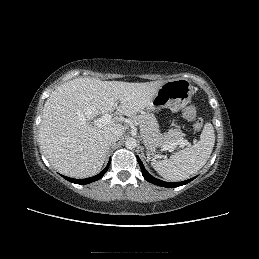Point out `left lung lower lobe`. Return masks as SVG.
Here are the masks:
<instances>
[{
    "label": "left lung lower lobe",
    "mask_w": 259,
    "mask_h": 259,
    "mask_svg": "<svg viewBox=\"0 0 259 259\" xmlns=\"http://www.w3.org/2000/svg\"><path fill=\"white\" fill-rule=\"evenodd\" d=\"M137 160H138V163H139V165H140V168H141V171H142V175L144 176V178L147 180V181H149V182H151V183H153V184H155V185H158V186H162V187H168V188H170V187H178V186H182V185H185V184H187V183H189L191 180H193L194 178H191V179H189V180H186V181H182V182H178V183H169V182H164V181H161V180H159V179H157V178H154L153 176H151L147 171H146V169L144 168V166H143V164H142V162H141V160H140V158L137 156Z\"/></svg>",
    "instance_id": "obj_1"
}]
</instances>
